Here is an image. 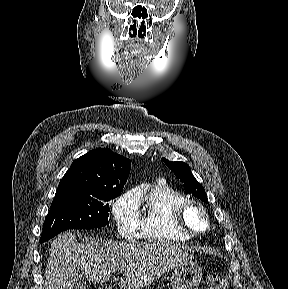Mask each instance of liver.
<instances>
[{
	"label": "liver",
	"mask_w": 288,
	"mask_h": 289,
	"mask_svg": "<svg viewBox=\"0 0 288 289\" xmlns=\"http://www.w3.org/2000/svg\"><path fill=\"white\" fill-rule=\"evenodd\" d=\"M192 256L180 248L160 242H110L92 239L77 243L72 232L59 235L51 244L45 270V289H73L77 270L94 284L110 282L111 273L120 289H139L152 284L169 270L186 264Z\"/></svg>",
	"instance_id": "6515ba94"
}]
</instances>
